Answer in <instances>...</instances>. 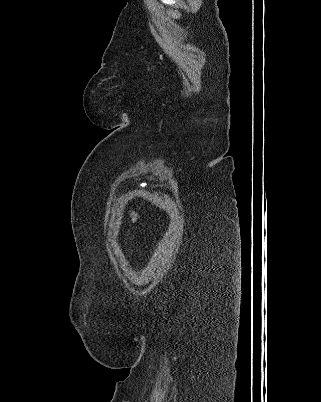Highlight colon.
Wrapping results in <instances>:
<instances>
[{
  "mask_svg": "<svg viewBox=\"0 0 321 402\" xmlns=\"http://www.w3.org/2000/svg\"><path fill=\"white\" fill-rule=\"evenodd\" d=\"M131 216L134 218V219H137L139 216H138V214L136 213V212H134L133 210H131Z\"/></svg>",
  "mask_w": 321,
  "mask_h": 402,
  "instance_id": "1",
  "label": "colon"
}]
</instances>
